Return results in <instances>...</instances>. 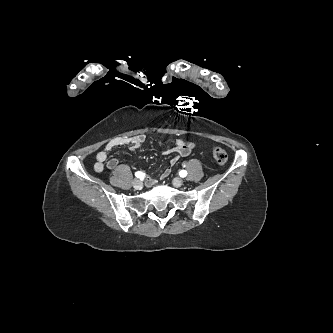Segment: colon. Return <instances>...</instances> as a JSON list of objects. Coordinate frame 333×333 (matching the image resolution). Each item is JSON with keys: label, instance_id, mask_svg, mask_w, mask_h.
<instances>
[{"label": "colon", "instance_id": "1", "mask_svg": "<svg viewBox=\"0 0 333 333\" xmlns=\"http://www.w3.org/2000/svg\"><path fill=\"white\" fill-rule=\"evenodd\" d=\"M212 155H213L214 160L219 165H224L228 160V155H227L226 151L219 147H216L213 149Z\"/></svg>", "mask_w": 333, "mask_h": 333}]
</instances>
